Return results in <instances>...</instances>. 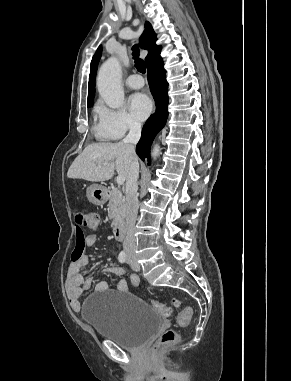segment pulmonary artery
Returning <instances> with one entry per match:
<instances>
[{"label": "pulmonary artery", "mask_w": 291, "mask_h": 381, "mask_svg": "<svg viewBox=\"0 0 291 381\" xmlns=\"http://www.w3.org/2000/svg\"><path fill=\"white\" fill-rule=\"evenodd\" d=\"M126 84L131 89H140L144 85V80L139 74H133L127 78Z\"/></svg>", "instance_id": "e3ab8cb5"}]
</instances>
